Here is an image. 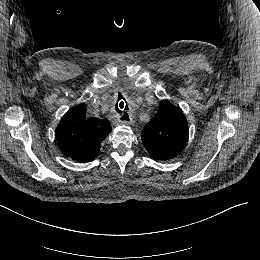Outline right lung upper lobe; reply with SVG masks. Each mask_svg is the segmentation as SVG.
Masks as SVG:
<instances>
[{"instance_id": "right-lung-upper-lobe-1", "label": "right lung upper lobe", "mask_w": 260, "mask_h": 260, "mask_svg": "<svg viewBox=\"0 0 260 260\" xmlns=\"http://www.w3.org/2000/svg\"><path fill=\"white\" fill-rule=\"evenodd\" d=\"M112 130L108 121L86 117L84 103L70 109L56 129V140L66 157L86 163L94 160L101 142Z\"/></svg>"}]
</instances>
